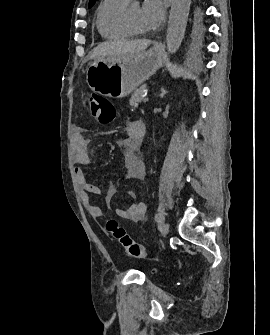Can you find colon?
Wrapping results in <instances>:
<instances>
[{
  "label": "colon",
  "instance_id": "5ec220e1",
  "mask_svg": "<svg viewBox=\"0 0 270 335\" xmlns=\"http://www.w3.org/2000/svg\"><path fill=\"white\" fill-rule=\"evenodd\" d=\"M90 111L92 117L103 125L110 124L116 116V110L111 101L97 93L91 95ZM107 229L128 255L133 258L146 257L145 247L135 243L116 219L110 218L107 221Z\"/></svg>",
  "mask_w": 270,
  "mask_h": 335
}]
</instances>
